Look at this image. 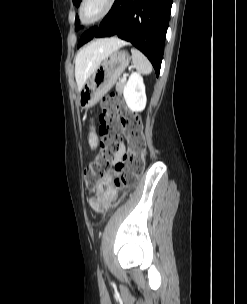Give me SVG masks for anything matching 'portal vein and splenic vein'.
I'll list each match as a JSON object with an SVG mask.
<instances>
[{"mask_svg":"<svg viewBox=\"0 0 247 304\" xmlns=\"http://www.w3.org/2000/svg\"><path fill=\"white\" fill-rule=\"evenodd\" d=\"M126 76H127V74L125 73V74H123V80H125L126 79Z\"/></svg>","mask_w":247,"mask_h":304,"instance_id":"obj_1","label":"portal vein and splenic vein"}]
</instances>
